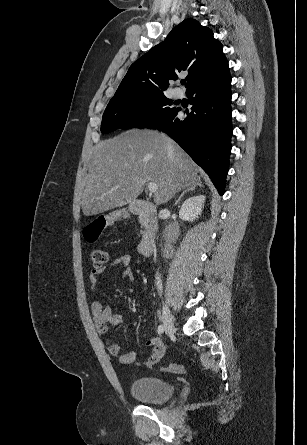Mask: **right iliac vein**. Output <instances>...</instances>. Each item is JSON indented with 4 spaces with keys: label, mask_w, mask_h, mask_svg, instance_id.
<instances>
[{
    "label": "right iliac vein",
    "mask_w": 307,
    "mask_h": 445,
    "mask_svg": "<svg viewBox=\"0 0 307 445\" xmlns=\"http://www.w3.org/2000/svg\"><path fill=\"white\" fill-rule=\"evenodd\" d=\"M162 313L164 329L166 333H172L174 331L173 316L167 304H163Z\"/></svg>",
    "instance_id": "obj_1"
}]
</instances>
